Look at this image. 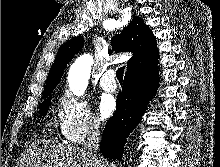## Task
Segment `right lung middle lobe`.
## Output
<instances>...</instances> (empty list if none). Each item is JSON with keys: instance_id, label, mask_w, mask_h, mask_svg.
I'll list each match as a JSON object with an SVG mask.
<instances>
[{"instance_id": "1", "label": "right lung middle lobe", "mask_w": 220, "mask_h": 167, "mask_svg": "<svg viewBox=\"0 0 220 167\" xmlns=\"http://www.w3.org/2000/svg\"><path fill=\"white\" fill-rule=\"evenodd\" d=\"M50 102H51V97L47 98L41 105V110H40V116H45L47 111H48V108H49V105H50Z\"/></svg>"}]
</instances>
